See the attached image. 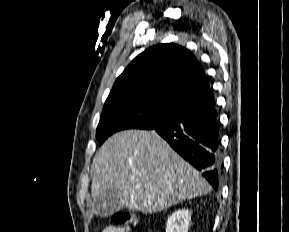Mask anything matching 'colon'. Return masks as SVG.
I'll use <instances>...</instances> for the list:
<instances>
[{"label": "colon", "instance_id": "obj_1", "mask_svg": "<svg viewBox=\"0 0 289 232\" xmlns=\"http://www.w3.org/2000/svg\"><path fill=\"white\" fill-rule=\"evenodd\" d=\"M114 224L118 227H126L134 223V217L132 214L126 211H117L112 215Z\"/></svg>", "mask_w": 289, "mask_h": 232}]
</instances>
